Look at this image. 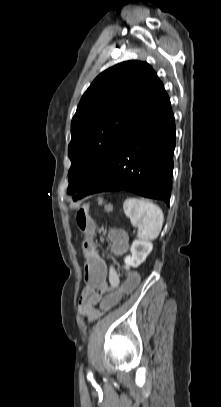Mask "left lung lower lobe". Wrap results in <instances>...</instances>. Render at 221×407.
I'll use <instances>...</instances> for the list:
<instances>
[{"label": "left lung lower lobe", "instance_id": "0a47b994", "mask_svg": "<svg viewBox=\"0 0 221 407\" xmlns=\"http://www.w3.org/2000/svg\"><path fill=\"white\" fill-rule=\"evenodd\" d=\"M174 149L175 120L161 82L125 130L108 164L75 200L125 190L169 205Z\"/></svg>", "mask_w": 221, "mask_h": 407}]
</instances>
